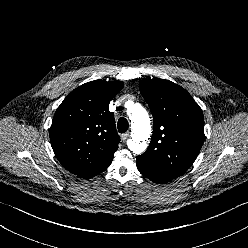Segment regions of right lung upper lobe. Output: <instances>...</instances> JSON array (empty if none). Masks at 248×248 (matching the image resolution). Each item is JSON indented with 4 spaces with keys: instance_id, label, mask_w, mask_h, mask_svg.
Segmentation results:
<instances>
[{
    "instance_id": "cb5924a9",
    "label": "right lung upper lobe",
    "mask_w": 248,
    "mask_h": 248,
    "mask_svg": "<svg viewBox=\"0 0 248 248\" xmlns=\"http://www.w3.org/2000/svg\"><path fill=\"white\" fill-rule=\"evenodd\" d=\"M122 88L121 81H91L74 89L56 110L50 142L71 173L91 178L110 166L120 137L108 105Z\"/></svg>"
}]
</instances>
